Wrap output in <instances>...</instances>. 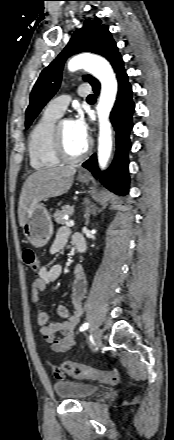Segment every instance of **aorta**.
<instances>
[{
  "instance_id": "aorta-1",
  "label": "aorta",
  "mask_w": 174,
  "mask_h": 440,
  "mask_svg": "<svg viewBox=\"0 0 174 440\" xmlns=\"http://www.w3.org/2000/svg\"><path fill=\"white\" fill-rule=\"evenodd\" d=\"M85 69L94 75L102 85L97 105L99 118L98 163L100 169H105L112 150V128L109 115L116 100L118 84L110 63L98 55L80 54L68 62L71 72Z\"/></svg>"
}]
</instances>
